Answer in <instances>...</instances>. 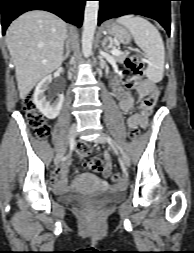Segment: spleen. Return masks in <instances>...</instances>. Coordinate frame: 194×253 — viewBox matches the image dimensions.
<instances>
[{
  "mask_svg": "<svg viewBox=\"0 0 194 253\" xmlns=\"http://www.w3.org/2000/svg\"><path fill=\"white\" fill-rule=\"evenodd\" d=\"M117 22L125 26L132 34L135 43L144 51L148 66L145 74L152 82H160L164 73L165 49L157 28L142 17L125 15Z\"/></svg>",
  "mask_w": 194,
  "mask_h": 253,
  "instance_id": "3e777b00",
  "label": "spleen"
}]
</instances>
